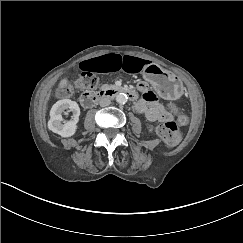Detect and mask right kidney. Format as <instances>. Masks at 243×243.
Wrapping results in <instances>:
<instances>
[{"mask_svg":"<svg viewBox=\"0 0 243 243\" xmlns=\"http://www.w3.org/2000/svg\"><path fill=\"white\" fill-rule=\"evenodd\" d=\"M65 110L73 112V117L69 121L63 120L62 113ZM80 108L75 101L70 99H62L57 101L50 110V120L48 121V128L54 133L62 137H70L74 135L77 123L79 121Z\"/></svg>","mask_w":243,"mask_h":243,"instance_id":"1","label":"right kidney"}]
</instances>
